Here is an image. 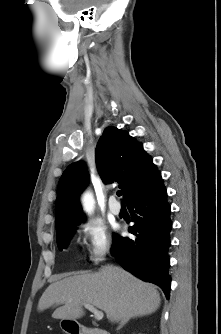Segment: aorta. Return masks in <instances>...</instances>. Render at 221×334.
I'll list each match as a JSON object with an SVG mask.
<instances>
[{
	"label": "aorta",
	"mask_w": 221,
	"mask_h": 334,
	"mask_svg": "<svg viewBox=\"0 0 221 334\" xmlns=\"http://www.w3.org/2000/svg\"><path fill=\"white\" fill-rule=\"evenodd\" d=\"M82 201H83V206H84L85 211L87 213H91L94 208V199L91 193L86 192L83 196Z\"/></svg>",
	"instance_id": "obj_1"
}]
</instances>
